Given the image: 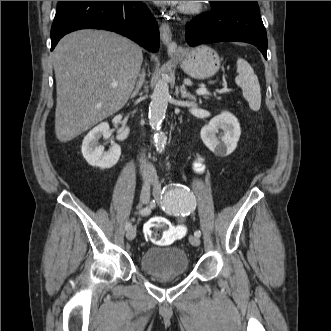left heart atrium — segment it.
Returning a JSON list of instances; mask_svg holds the SVG:
<instances>
[{
    "instance_id": "39dd6f15",
    "label": "left heart atrium",
    "mask_w": 331,
    "mask_h": 331,
    "mask_svg": "<svg viewBox=\"0 0 331 331\" xmlns=\"http://www.w3.org/2000/svg\"><path fill=\"white\" fill-rule=\"evenodd\" d=\"M157 5H171V4H177L181 1H153Z\"/></svg>"
}]
</instances>
